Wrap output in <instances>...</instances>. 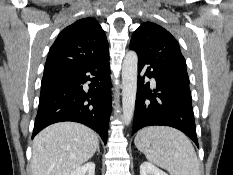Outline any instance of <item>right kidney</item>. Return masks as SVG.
<instances>
[{
  "mask_svg": "<svg viewBox=\"0 0 233 175\" xmlns=\"http://www.w3.org/2000/svg\"><path fill=\"white\" fill-rule=\"evenodd\" d=\"M70 175H95V164L93 162H88L78 167Z\"/></svg>",
  "mask_w": 233,
  "mask_h": 175,
  "instance_id": "right-kidney-1",
  "label": "right kidney"
}]
</instances>
